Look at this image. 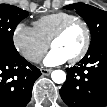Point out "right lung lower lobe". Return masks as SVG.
Listing matches in <instances>:
<instances>
[{
  "mask_svg": "<svg viewBox=\"0 0 107 107\" xmlns=\"http://www.w3.org/2000/svg\"><path fill=\"white\" fill-rule=\"evenodd\" d=\"M40 75V70L22 56L0 53V107H25Z\"/></svg>",
  "mask_w": 107,
  "mask_h": 107,
  "instance_id": "98d812e1",
  "label": "right lung lower lobe"
}]
</instances>
